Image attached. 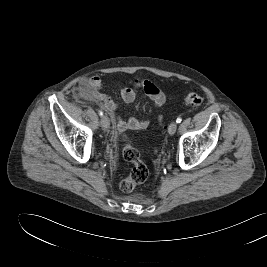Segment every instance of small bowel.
I'll return each mask as SVG.
<instances>
[{
  "mask_svg": "<svg viewBox=\"0 0 267 267\" xmlns=\"http://www.w3.org/2000/svg\"><path fill=\"white\" fill-rule=\"evenodd\" d=\"M103 83L100 77L93 76L79 83L78 91L86 98L95 101L102 109L109 112L115 120V126L119 132L130 130H144L149 126L148 119L129 117L123 119L118 115L119 105L101 92ZM138 90L144 93L152 101L154 107H162L166 102V96L161 89L149 80H135L131 86H123L120 95L125 103H132Z\"/></svg>",
  "mask_w": 267,
  "mask_h": 267,
  "instance_id": "obj_1",
  "label": "small bowel"
}]
</instances>
